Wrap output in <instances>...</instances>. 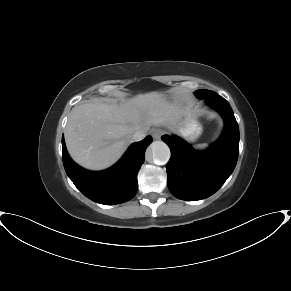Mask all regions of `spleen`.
<instances>
[{
	"label": "spleen",
	"instance_id": "3e777b00",
	"mask_svg": "<svg viewBox=\"0 0 291 291\" xmlns=\"http://www.w3.org/2000/svg\"><path fill=\"white\" fill-rule=\"evenodd\" d=\"M208 147V144L207 143H203V144H198V145H195L194 148L195 149H198V150H204L205 148Z\"/></svg>",
	"mask_w": 291,
	"mask_h": 291
}]
</instances>
